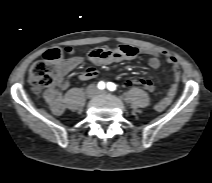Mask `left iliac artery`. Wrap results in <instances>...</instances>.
Wrapping results in <instances>:
<instances>
[{"label":"left iliac artery","instance_id":"1","mask_svg":"<svg viewBox=\"0 0 212 183\" xmlns=\"http://www.w3.org/2000/svg\"><path fill=\"white\" fill-rule=\"evenodd\" d=\"M107 88L110 91H114V90H116V85L114 83H112V82H108L107 83Z\"/></svg>","mask_w":212,"mask_h":183}]
</instances>
